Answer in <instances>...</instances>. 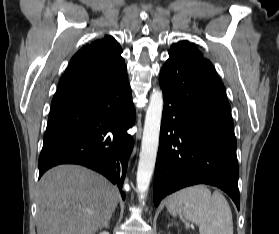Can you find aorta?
<instances>
[{
  "label": "aorta",
  "mask_w": 279,
  "mask_h": 234,
  "mask_svg": "<svg viewBox=\"0 0 279 234\" xmlns=\"http://www.w3.org/2000/svg\"><path fill=\"white\" fill-rule=\"evenodd\" d=\"M162 111V91L160 89H154L150 95L149 105L146 111L136 177L137 192L140 201L143 203L155 168Z\"/></svg>",
  "instance_id": "obj_1"
}]
</instances>
